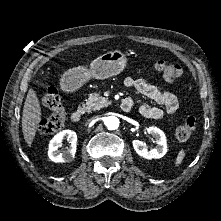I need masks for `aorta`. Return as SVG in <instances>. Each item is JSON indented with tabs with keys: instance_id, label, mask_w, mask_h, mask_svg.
I'll use <instances>...</instances> for the list:
<instances>
[{
	"instance_id": "762f6f07",
	"label": "aorta",
	"mask_w": 221,
	"mask_h": 221,
	"mask_svg": "<svg viewBox=\"0 0 221 221\" xmlns=\"http://www.w3.org/2000/svg\"><path fill=\"white\" fill-rule=\"evenodd\" d=\"M104 123L108 130H116L119 127V119L115 116L106 117Z\"/></svg>"
}]
</instances>
